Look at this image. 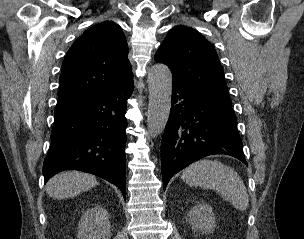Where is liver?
I'll return each mask as SVG.
<instances>
[{"mask_svg": "<svg viewBox=\"0 0 304 239\" xmlns=\"http://www.w3.org/2000/svg\"><path fill=\"white\" fill-rule=\"evenodd\" d=\"M97 185L94 175L67 171L52 177L46 184L47 194L56 199L75 197Z\"/></svg>", "mask_w": 304, "mask_h": 239, "instance_id": "1", "label": "liver"}]
</instances>
